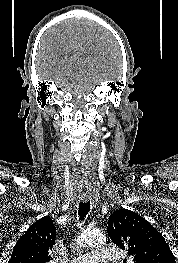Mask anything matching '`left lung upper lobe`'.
Instances as JSON below:
<instances>
[{"instance_id": "left-lung-upper-lobe-1", "label": "left lung upper lobe", "mask_w": 178, "mask_h": 263, "mask_svg": "<svg viewBox=\"0 0 178 263\" xmlns=\"http://www.w3.org/2000/svg\"><path fill=\"white\" fill-rule=\"evenodd\" d=\"M111 240L133 256L134 263H176L165 238L140 215L114 211L108 222Z\"/></svg>"}]
</instances>
